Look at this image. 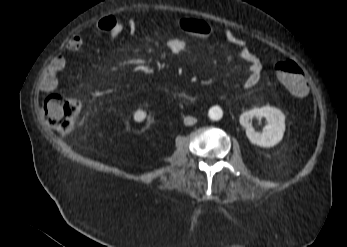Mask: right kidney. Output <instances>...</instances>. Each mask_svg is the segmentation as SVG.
I'll return each instance as SVG.
<instances>
[{
	"mask_svg": "<svg viewBox=\"0 0 347 247\" xmlns=\"http://www.w3.org/2000/svg\"><path fill=\"white\" fill-rule=\"evenodd\" d=\"M146 117V113L143 111V110H137L135 113H134V120L136 122H141L145 119Z\"/></svg>",
	"mask_w": 347,
	"mask_h": 247,
	"instance_id": "obj_1",
	"label": "right kidney"
}]
</instances>
